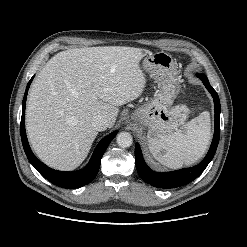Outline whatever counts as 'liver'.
I'll return each instance as SVG.
<instances>
[{
  "label": "liver",
  "mask_w": 247,
  "mask_h": 247,
  "mask_svg": "<svg viewBox=\"0 0 247 247\" xmlns=\"http://www.w3.org/2000/svg\"><path fill=\"white\" fill-rule=\"evenodd\" d=\"M151 52L135 47L76 48L52 57L30 89L26 130L37 157L58 170L77 168L87 157L98 131L97 115L113 127L118 107L145 87L139 62Z\"/></svg>",
  "instance_id": "6515ba94"
}]
</instances>
